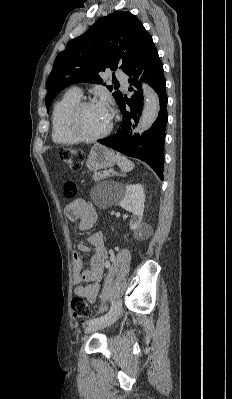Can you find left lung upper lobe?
Returning <instances> with one entry per match:
<instances>
[{
	"instance_id": "5c2ea615",
	"label": "left lung upper lobe",
	"mask_w": 232,
	"mask_h": 399,
	"mask_svg": "<svg viewBox=\"0 0 232 399\" xmlns=\"http://www.w3.org/2000/svg\"><path fill=\"white\" fill-rule=\"evenodd\" d=\"M151 39L142 23L130 12L116 11L100 18L85 34L71 40L56 57L46 85L47 109L57 93L71 84H101L103 80L99 72L106 68H120L127 74ZM107 88L113 90V86ZM113 97L119 103L123 95L115 91Z\"/></svg>"
}]
</instances>
